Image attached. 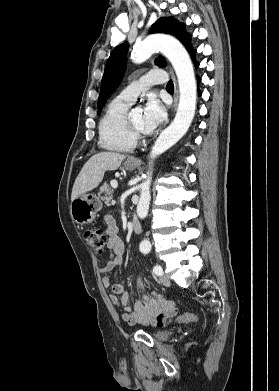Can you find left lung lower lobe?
<instances>
[{
	"instance_id": "left-lung-lower-lobe-1",
	"label": "left lung lower lobe",
	"mask_w": 279,
	"mask_h": 391,
	"mask_svg": "<svg viewBox=\"0 0 279 391\" xmlns=\"http://www.w3.org/2000/svg\"><path fill=\"white\" fill-rule=\"evenodd\" d=\"M194 55H195V50L191 52V57H192V60L195 64V67L197 68L199 66V63L195 60ZM197 81H198V83L201 81V79L198 76H197ZM199 95H201L200 92H199Z\"/></svg>"
}]
</instances>
